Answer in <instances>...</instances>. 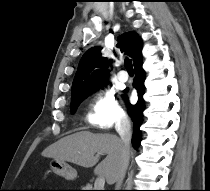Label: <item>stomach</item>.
<instances>
[{"label": "stomach", "instance_id": "stomach-1", "mask_svg": "<svg viewBox=\"0 0 210 191\" xmlns=\"http://www.w3.org/2000/svg\"><path fill=\"white\" fill-rule=\"evenodd\" d=\"M50 167L54 173L62 176L66 180H74L77 178V171L65 161L53 159L50 162Z\"/></svg>", "mask_w": 210, "mask_h": 191}]
</instances>
